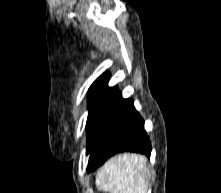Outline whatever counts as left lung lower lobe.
<instances>
[{"label":"left lung lower lobe","instance_id":"obj_1","mask_svg":"<svg viewBox=\"0 0 221 193\" xmlns=\"http://www.w3.org/2000/svg\"><path fill=\"white\" fill-rule=\"evenodd\" d=\"M108 126L89 156L87 172L95 171L112 156L124 152L151 154V142L144 130V120L131 99L119 91L108 112Z\"/></svg>","mask_w":221,"mask_h":193}]
</instances>
